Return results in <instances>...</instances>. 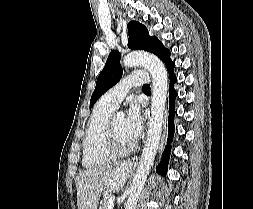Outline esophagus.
<instances>
[{
	"label": "esophagus",
	"instance_id": "esophagus-1",
	"mask_svg": "<svg viewBox=\"0 0 253 209\" xmlns=\"http://www.w3.org/2000/svg\"><path fill=\"white\" fill-rule=\"evenodd\" d=\"M128 164H131V162H130V161H128Z\"/></svg>",
	"mask_w": 253,
	"mask_h": 209
}]
</instances>
